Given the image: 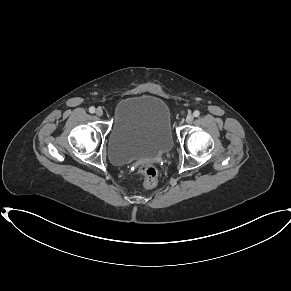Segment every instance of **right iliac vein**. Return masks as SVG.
I'll use <instances>...</instances> for the list:
<instances>
[{"label":"right iliac vein","instance_id":"obj_1","mask_svg":"<svg viewBox=\"0 0 291 291\" xmlns=\"http://www.w3.org/2000/svg\"><path fill=\"white\" fill-rule=\"evenodd\" d=\"M95 113L97 116L101 117L103 115V110L101 108H97Z\"/></svg>","mask_w":291,"mask_h":291}]
</instances>
